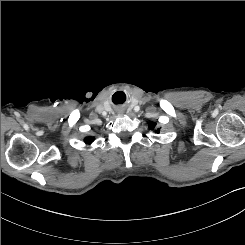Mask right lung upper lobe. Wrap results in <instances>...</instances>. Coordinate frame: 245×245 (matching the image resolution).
Masks as SVG:
<instances>
[{"label":"right lung upper lobe","mask_w":245,"mask_h":245,"mask_svg":"<svg viewBox=\"0 0 245 245\" xmlns=\"http://www.w3.org/2000/svg\"><path fill=\"white\" fill-rule=\"evenodd\" d=\"M93 141H94V137H86V138L84 139V142H85L86 144H91Z\"/></svg>","instance_id":"right-lung-upper-lobe-1"}]
</instances>
